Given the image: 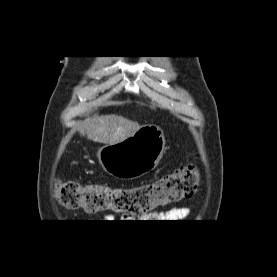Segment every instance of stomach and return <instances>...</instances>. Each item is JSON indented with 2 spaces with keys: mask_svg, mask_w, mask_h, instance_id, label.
Returning <instances> with one entry per match:
<instances>
[{
  "mask_svg": "<svg viewBox=\"0 0 277 277\" xmlns=\"http://www.w3.org/2000/svg\"><path fill=\"white\" fill-rule=\"evenodd\" d=\"M165 143L164 132L159 126L146 125L121 142L101 147L97 157L108 174L135 179L157 167Z\"/></svg>",
  "mask_w": 277,
  "mask_h": 277,
  "instance_id": "1",
  "label": "stomach"
}]
</instances>
